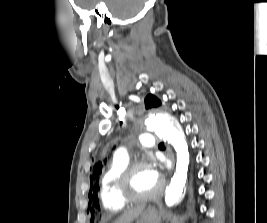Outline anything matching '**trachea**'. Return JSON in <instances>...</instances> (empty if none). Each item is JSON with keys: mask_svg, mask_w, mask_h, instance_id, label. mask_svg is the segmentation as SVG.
I'll list each match as a JSON object with an SVG mask.
<instances>
[{"mask_svg": "<svg viewBox=\"0 0 267 223\" xmlns=\"http://www.w3.org/2000/svg\"><path fill=\"white\" fill-rule=\"evenodd\" d=\"M159 147H164V143L161 142V143L159 144Z\"/></svg>", "mask_w": 267, "mask_h": 223, "instance_id": "3493384b", "label": "trachea"}]
</instances>
